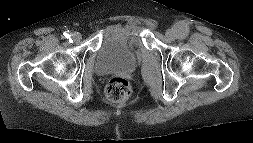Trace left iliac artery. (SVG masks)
Returning a JSON list of instances; mask_svg holds the SVG:
<instances>
[{
    "instance_id": "left-iliac-artery-1",
    "label": "left iliac artery",
    "mask_w": 253,
    "mask_h": 143,
    "mask_svg": "<svg viewBox=\"0 0 253 143\" xmlns=\"http://www.w3.org/2000/svg\"><path fill=\"white\" fill-rule=\"evenodd\" d=\"M178 31V38H185L189 32L188 28L184 26H181Z\"/></svg>"
}]
</instances>
